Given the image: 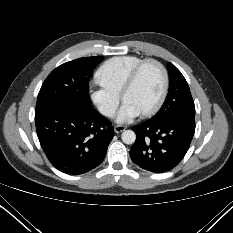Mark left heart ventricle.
<instances>
[{
	"instance_id": "b2bd125f",
	"label": "left heart ventricle",
	"mask_w": 233,
	"mask_h": 233,
	"mask_svg": "<svg viewBox=\"0 0 233 233\" xmlns=\"http://www.w3.org/2000/svg\"><path fill=\"white\" fill-rule=\"evenodd\" d=\"M163 77L155 64H147L141 71L136 84L129 90L124 98L140 113L152 108L162 91Z\"/></svg>"
}]
</instances>
